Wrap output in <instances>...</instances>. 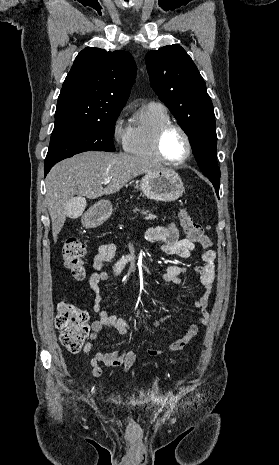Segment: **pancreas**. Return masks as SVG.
<instances>
[{
    "label": "pancreas",
    "mask_w": 279,
    "mask_h": 465,
    "mask_svg": "<svg viewBox=\"0 0 279 465\" xmlns=\"http://www.w3.org/2000/svg\"><path fill=\"white\" fill-rule=\"evenodd\" d=\"M133 211H134L135 213L141 212V214L144 215L145 218L148 219V220H152V219H156V218H157L155 215L151 214L149 211H145L144 209L139 210V209L136 208V209H134Z\"/></svg>",
    "instance_id": "pancreas-1"
}]
</instances>
